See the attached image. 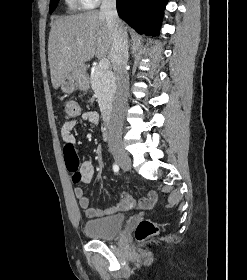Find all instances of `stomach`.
I'll list each match as a JSON object with an SVG mask.
<instances>
[{
    "label": "stomach",
    "mask_w": 247,
    "mask_h": 280,
    "mask_svg": "<svg viewBox=\"0 0 247 280\" xmlns=\"http://www.w3.org/2000/svg\"><path fill=\"white\" fill-rule=\"evenodd\" d=\"M89 81L86 75V66L77 65L61 84L62 91L72 93L76 89L87 90Z\"/></svg>",
    "instance_id": "stomach-1"
}]
</instances>
